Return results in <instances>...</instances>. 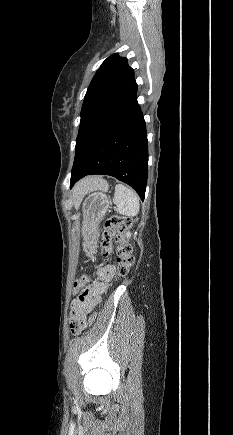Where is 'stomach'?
<instances>
[{
    "instance_id": "1",
    "label": "stomach",
    "mask_w": 233,
    "mask_h": 435,
    "mask_svg": "<svg viewBox=\"0 0 233 435\" xmlns=\"http://www.w3.org/2000/svg\"><path fill=\"white\" fill-rule=\"evenodd\" d=\"M106 188L107 185L102 190ZM109 203L107 195L102 191L92 192L83 202L82 236L84 249L88 255L94 253L97 248L98 226L109 208Z\"/></svg>"
}]
</instances>
